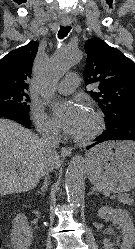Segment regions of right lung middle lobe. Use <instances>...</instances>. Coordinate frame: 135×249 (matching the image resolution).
I'll return each mask as SVG.
<instances>
[{
  "mask_svg": "<svg viewBox=\"0 0 135 249\" xmlns=\"http://www.w3.org/2000/svg\"><path fill=\"white\" fill-rule=\"evenodd\" d=\"M26 91H0V105L13 107L22 113L29 114Z\"/></svg>",
  "mask_w": 135,
  "mask_h": 249,
  "instance_id": "dd1d6c3e",
  "label": "right lung middle lobe"
}]
</instances>
